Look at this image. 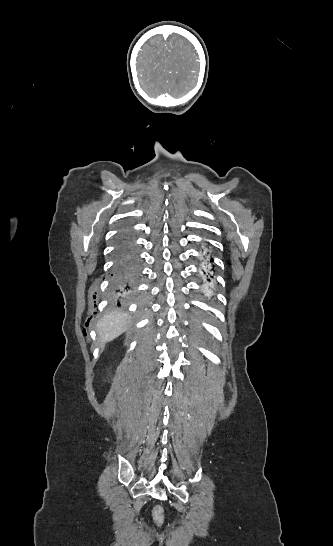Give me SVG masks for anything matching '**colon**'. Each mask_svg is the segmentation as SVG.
Here are the masks:
<instances>
[{
	"label": "colon",
	"mask_w": 333,
	"mask_h": 546,
	"mask_svg": "<svg viewBox=\"0 0 333 546\" xmlns=\"http://www.w3.org/2000/svg\"><path fill=\"white\" fill-rule=\"evenodd\" d=\"M153 521L157 526H162L164 523V511L159 505H156L152 509Z\"/></svg>",
	"instance_id": "colon-1"
}]
</instances>
